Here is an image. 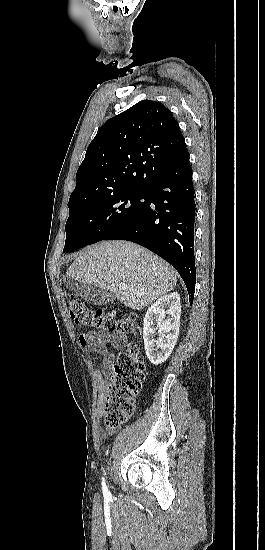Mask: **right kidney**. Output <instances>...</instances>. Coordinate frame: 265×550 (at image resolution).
Here are the masks:
<instances>
[{
	"label": "right kidney",
	"instance_id": "right-kidney-1",
	"mask_svg": "<svg viewBox=\"0 0 265 550\" xmlns=\"http://www.w3.org/2000/svg\"><path fill=\"white\" fill-rule=\"evenodd\" d=\"M168 315V317H166ZM181 304L178 293L160 297L147 310L143 320V339L147 358L154 365L165 362L176 344L180 326ZM157 323L159 339L154 338ZM157 345V348L155 346Z\"/></svg>",
	"mask_w": 265,
	"mask_h": 550
}]
</instances>
